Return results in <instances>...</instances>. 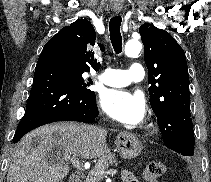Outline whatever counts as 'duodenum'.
I'll use <instances>...</instances> for the list:
<instances>
[{
    "label": "duodenum",
    "mask_w": 211,
    "mask_h": 182,
    "mask_svg": "<svg viewBox=\"0 0 211 182\" xmlns=\"http://www.w3.org/2000/svg\"><path fill=\"white\" fill-rule=\"evenodd\" d=\"M69 182H81V177L79 174H72L69 178Z\"/></svg>",
    "instance_id": "410a0bca"
}]
</instances>
